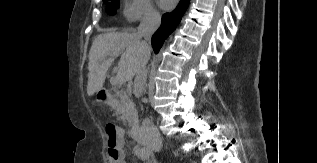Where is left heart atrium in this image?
I'll return each mask as SVG.
<instances>
[{
	"label": "left heart atrium",
	"instance_id": "obj_1",
	"mask_svg": "<svg viewBox=\"0 0 317 163\" xmlns=\"http://www.w3.org/2000/svg\"><path fill=\"white\" fill-rule=\"evenodd\" d=\"M159 4L164 9H170L174 6L177 0H158Z\"/></svg>",
	"mask_w": 317,
	"mask_h": 163
}]
</instances>
